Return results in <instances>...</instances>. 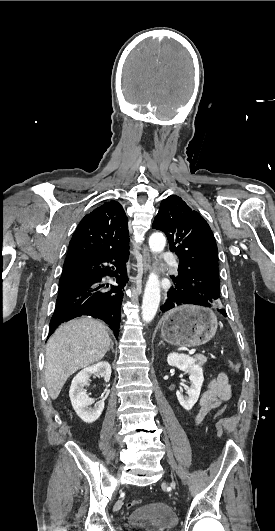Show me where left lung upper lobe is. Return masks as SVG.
Segmentation results:
<instances>
[{"mask_svg": "<svg viewBox=\"0 0 275 531\" xmlns=\"http://www.w3.org/2000/svg\"><path fill=\"white\" fill-rule=\"evenodd\" d=\"M152 228L163 231L170 251L179 260L172 276L174 295L187 303L212 307L220 298L217 245L205 219L180 197L170 195L160 204Z\"/></svg>", "mask_w": 275, "mask_h": 531, "instance_id": "5c2ea615", "label": "left lung upper lobe"}]
</instances>
